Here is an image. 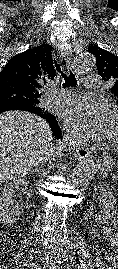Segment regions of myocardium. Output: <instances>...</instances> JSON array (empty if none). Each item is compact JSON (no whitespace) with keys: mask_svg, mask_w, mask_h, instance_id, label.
<instances>
[{"mask_svg":"<svg viewBox=\"0 0 118 269\" xmlns=\"http://www.w3.org/2000/svg\"><path fill=\"white\" fill-rule=\"evenodd\" d=\"M113 112L118 113V106L114 107ZM109 146L118 149V142L110 141Z\"/></svg>","mask_w":118,"mask_h":269,"instance_id":"obj_1","label":"myocardium"}]
</instances>
